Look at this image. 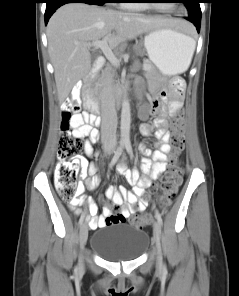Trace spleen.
<instances>
[{
	"mask_svg": "<svg viewBox=\"0 0 239 296\" xmlns=\"http://www.w3.org/2000/svg\"><path fill=\"white\" fill-rule=\"evenodd\" d=\"M194 49H195V41L192 39L191 47H190V53H189V58H188L186 69L188 68V66H189V64L191 62V58H192V54H193Z\"/></svg>",
	"mask_w": 239,
	"mask_h": 296,
	"instance_id": "obj_1",
	"label": "spleen"
}]
</instances>
